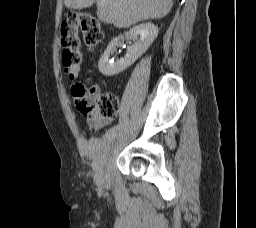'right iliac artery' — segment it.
I'll use <instances>...</instances> for the list:
<instances>
[{
	"label": "right iliac artery",
	"instance_id": "1",
	"mask_svg": "<svg viewBox=\"0 0 256 228\" xmlns=\"http://www.w3.org/2000/svg\"><path fill=\"white\" fill-rule=\"evenodd\" d=\"M119 128H120V125H119V124L113 126V127L110 129V131H109L108 137H111V135H113L114 132L117 131Z\"/></svg>",
	"mask_w": 256,
	"mask_h": 228
}]
</instances>
